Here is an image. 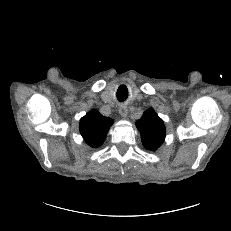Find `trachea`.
<instances>
[{"label": "trachea", "instance_id": "3493384b", "mask_svg": "<svg viewBox=\"0 0 231 231\" xmlns=\"http://www.w3.org/2000/svg\"><path fill=\"white\" fill-rule=\"evenodd\" d=\"M118 99H119V101H123V100H125V98H123V97H119V96H118Z\"/></svg>", "mask_w": 231, "mask_h": 231}]
</instances>
